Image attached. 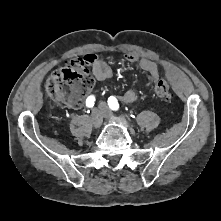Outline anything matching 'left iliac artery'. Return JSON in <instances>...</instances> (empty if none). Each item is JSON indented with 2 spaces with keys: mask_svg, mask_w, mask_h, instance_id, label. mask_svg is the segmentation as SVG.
<instances>
[{
  "mask_svg": "<svg viewBox=\"0 0 221 221\" xmlns=\"http://www.w3.org/2000/svg\"><path fill=\"white\" fill-rule=\"evenodd\" d=\"M108 105H109L110 109H112L114 111H117L119 109V103L114 96H110L108 98Z\"/></svg>",
  "mask_w": 221,
  "mask_h": 221,
  "instance_id": "left-iliac-artery-1",
  "label": "left iliac artery"
}]
</instances>
